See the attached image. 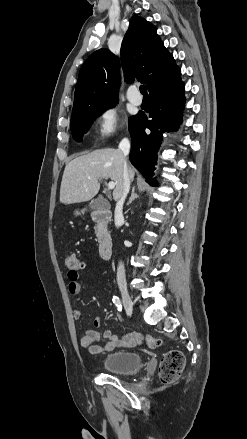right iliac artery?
Instances as JSON below:
<instances>
[{"label": "right iliac artery", "instance_id": "obj_1", "mask_svg": "<svg viewBox=\"0 0 247 439\" xmlns=\"http://www.w3.org/2000/svg\"><path fill=\"white\" fill-rule=\"evenodd\" d=\"M112 301L115 304V306L118 308V310L121 311L122 310V304H121L120 298L118 296H113Z\"/></svg>", "mask_w": 247, "mask_h": 439}]
</instances>
